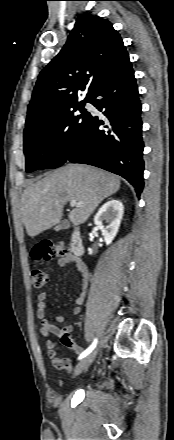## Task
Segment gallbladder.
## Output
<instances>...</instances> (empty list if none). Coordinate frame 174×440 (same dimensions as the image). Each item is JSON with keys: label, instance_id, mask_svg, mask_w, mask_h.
<instances>
[{"label": "gallbladder", "instance_id": "obj_1", "mask_svg": "<svg viewBox=\"0 0 174 440\" xmlns=\"http://www.w3.org/2000/svg\"><path fill=\"white\" fill-rule=\"evenodd\" d=\"M68 226H69V222H68V220L64 219V220L60 221V222L54 227V230H55V231H60V230L66 229Z\"/></svg>", "mask_w": 174, "mask_h": 440}]
</instances>
